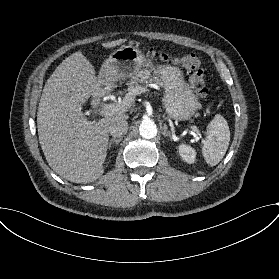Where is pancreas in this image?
I'll use <instances>...</instances> for the list:
<instances>
[{
	"label": "pancreas",
	"instance_id": "cf45deb5",
	"mask_svg": "<svg viewBox=\"0 0 279 279\" xmlns=\"http://www.w3.org/2000/svg\"><path fill=\"white\" fill-rule=\"evenodd\" d=\"M150 72L147 71H141L138 73L137 77H133V81L131 83H129V90L132 92L135 88V84L136 83H140V82H146L148 80H150ZM155 82H157V80H155ZM130 104H128L127 106H129Z\"/></svg>",
	"mask_w": 279,
	"mask_h": 279
}]
</instances>
